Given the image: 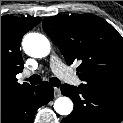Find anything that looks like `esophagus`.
I'll return each mask as SVG.
<instances>
[{
	"label": "esophagus",
	"mask_w": 123,
	"mask_h": 123,
	"mask_svg": "<svg viewBox=\"0 0 123 123\" xmlns=\"http://www.w3.org/2000/svg\"><path fill=\"white\" fill-rule=\"evenodd\" d=\"M61 96V91H60V89L59 88H54V97L55 98H58V97H60Z\"/></svg>",
	"instance_id": "obj_1"
}]
</instances>
